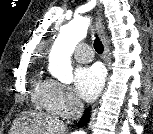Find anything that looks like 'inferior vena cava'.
Here are the masks:
<instances>
[{"instance_id":"1","label":"inferior vena cava","mask_w":153,"mask_h":134,"mask_svg":"<svg viewBox=\"0 0 153 134\" xmlns=\"http://www.w3.org/2000/svg\"><path fill=\"white\" fill-rule=\"evenodd\" d=\"M83 107V103L79 99H76L74 102V110L71 115L72 120H78L81 117Z\"/></svg>"}]
</instances>
